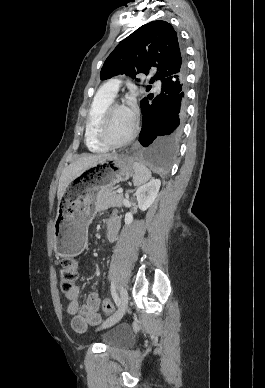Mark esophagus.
<instances>
[{
	"instance_id": "1",
	"label": "esophagus",
	"mask_w": 265,
	"mask_h": 388,
	"mask_svg": "<svg viewBox=\"0 0 265 388\" xmlns=\"http://www.w3.org/2000/svg\"><path fill=\"white\" fill-rule=\"evenodd\" d=\"M138 147H139V145L134 144V145L131 147L130 151H133V150H135V149L138 148Z\"/></svg>"
}]
</instances>
